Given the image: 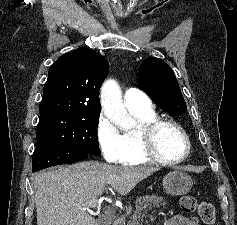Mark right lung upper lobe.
I'll use <instances>...</instances> for the list:
<instances>
[{
  "instance_id": "obj_1",
  "label": "right lung upper lobe",
  "mask_w": 237,
  "mask_h": 225,
  "mask_svg": "<svg viewBox=\"0 0 237 225\" xmlns=\"http://www.w3.org/2000/svg\"><path fill=\"white\" fill-rule=\"evenodd\" d=\"M108 71V61L91 49L82 47L59 57L49 68L39 120L100 114L99 89Z\"/></svg>"
}]
</instances>
